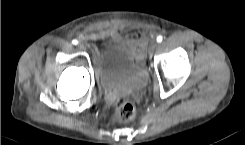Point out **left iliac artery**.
Returning a JSON list of instances; mask_svg holds the SVG:
<instances>
[{
  "label": "left iliac artery",
  "mask_w": 245,
  "mask_h": 145,
  "mask_svg": "<svg viewBox=\"0 0 245 145\" xmlns=\"http://www.w3.org/2000/svg\"><path fill=\"white\" fill-rule=\"evenodd\" d=\"M163 40V37L162 36H158L157 37V42H161Z\"/></svg>",
  "instance_id": "obj_1"
}]
</instances>
